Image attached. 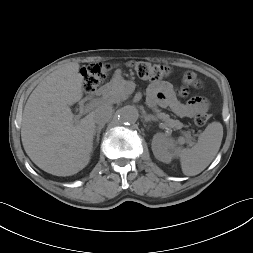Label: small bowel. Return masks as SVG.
<instances>
[{
    "instance_id": "small-bowel-1",
    "label": "small bowel",
    "mask_w": 253,
    "mask_h": 253,
    "mask_svg": "<svg viewBox=\"0 0 253 253\" xmlns=\"http://www.w3.org/2000/svg\"><path fill=\"white\" fill-rule=\"evenodd\" d=\"M121 78V71L116 70L113 80ZM181 95H186V91L181 89ZM147 101L149 106H160L171 109L177 116L181 118H190L200 111L208 109V102L203 97H194L185 102L177 98V92L174 85L170 81L161 80L152 82L147 89Z\"/></svg>"
}]
</instances>
